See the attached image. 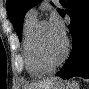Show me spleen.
I'll return each instance as SVG.
<instances>
[{"mask_svg": "<svg viewBox=\"0 0 89 89\" xmlns=\"http://www.w3.org/2000/svg\"><path fill=\"white\" fill-rule=\"evenodd\" d=\"M72 84H73L74 87H78V83L77 82L74 81Z\"/></svg>", "mask_w": 89, "mask_h": 89, "instance_id": "spleen-1", "label": "spleen"}]
</instances>
